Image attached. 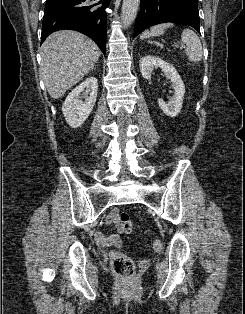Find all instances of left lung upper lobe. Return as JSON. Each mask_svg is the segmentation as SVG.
Listing matches in <instances>:
<instances>
[{
  "label": "left lung upper lobe",
  "mask_w": 245,
  "mask_h": 314,
  "mask_svg": "<svg viewBox=\"0 0 245 314\" xmlns=\"http://www.w3.org/2000/svg\"><path fill=\"white\" fill-rule=\"evenodd\" d=\"M184 1H189L197 5V0H184Z\"/></svg>",
  "instance_id": "5c2ea615"
}]
</instances>
